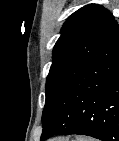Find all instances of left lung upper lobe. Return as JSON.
Wrapping results in <instances>:
<instances>
[{"instance_id": "1", "label": "left lung upper lobe", "mask_w": 119, "mask_h": 141, "mask_svg": "<svg viewBox=\"0 0 119 141\" xmlns=\"http://www.w3.org/2000/svg\"><path fill=\"white\" fill-rule=\"evenodd\" d=\"M114 21V16L98 4L85 5L68 17L53 49L45 105L93 60Z\"/></svg>"}]
</instances>
